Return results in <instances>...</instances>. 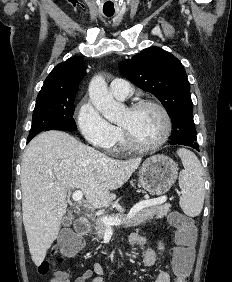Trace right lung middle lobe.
<instances>
[{
	"label": "right lung middle lobe",
	"mask_w": 232,
	"mask_h": 282,
	"mask_svg": "<svg viewBox=\"0 0 232 282\" xmlns=\"http://www.w3.org/2000/svg\"><path fill=\"white\" fill-rule=\"evenodd\" d=\"M75 95L38 94L28 140L42 131L56 128L76 131L77 127L73 118Z\"/></svg>",
	"instance_id": "1"
}]
</instances>
